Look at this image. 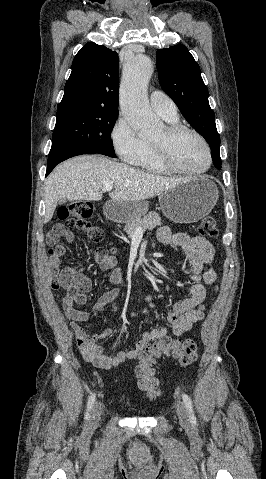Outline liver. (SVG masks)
I'll use <instances>...</instances> for the list:
<instances>
[{
	"mask_svg": "<svg viewBox=\"0 0 266 479\" xmlns=\"http://www.w3.org/2000/svg\"><path fill=\"white\" fill-rule=\"evenodd\" d=\"M190 178L154 175L100 155H82L58 165L44 185V223L53 217L60 199L98 201L102 188L112 184L109 197L115 202L142 201Z\"/></svg>",
	"mask_w": 266,
	"mask_h": 479,
	"instance_id": "1",
	"label": "liver"
}]
</instances>
